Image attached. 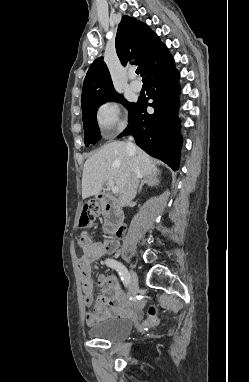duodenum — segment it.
Returning a JSON list of instances; mask_svg holds the SVG:
<instances>
[{"instance_id": "410a0bca", "label": "duodenum", "mask_w": 249, "mask_h": 382, "mask_svg": "<svg viewBox=\"0 0 249 382\" xmlns=\"http://www.w3.org/2000/svg\"><path fill=\"white\" fill-rule=\"evenodd\" d=\"M97 199L101 203L102 208L107 215L106 229L117 231V233H119L122 224L123 212L118 205L117 199L105 192L98 193Z\"/></svg>"}]
</instances>
